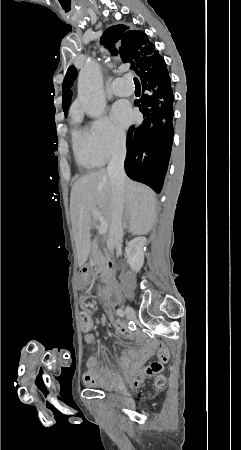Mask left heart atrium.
I'll return each instance as SVG.
<instances>
[{
    "mask_svg": "<svg viewBox=\"0 0 241 450\" xmlns=\"http://www.w3.org/2000/svg\"><path fill=\"white\" fill-rule=\"evenodd\" d=\"M111 116L113 121L122 128L127 127L132 120L130 107L124 102H117L113 105Z\"/></svg>",
    "mask_w": 241,
    "mask_h": 450,
    "instance_id": "left-heart-atrium-1",
    "label": "left heart atrium"
}]
</instances>
